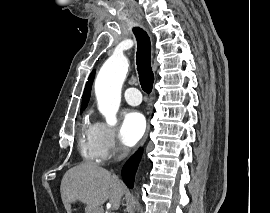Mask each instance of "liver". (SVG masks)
<instances>
[{"mask_svg":"<svg viewBox=\"0 0 270 213\" xmlns=\"http://www.w3.org/2000/svg\"><path fill=\"white\" fill-rule=\"evenodd\" d=\"M61 198L67 213H71L69 195L91 208H100L107 200L118 209L125 192L116 175L97 164L85 162L69 169L60 186Z\"/></svg>","mask_w":270,"mask_h":213,"instance_id":"liver-1","label":"liver"}]
</instances>
